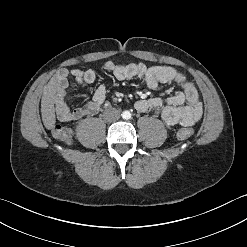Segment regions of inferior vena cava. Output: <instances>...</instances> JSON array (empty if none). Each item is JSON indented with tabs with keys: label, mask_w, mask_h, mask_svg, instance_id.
Masks as SVG:
<instances>
[{
	"label": "inferior vena cava",
	"mask_w": 247,
	"mask_h": 247,
	"mask_svg": "<svg viewBox=\"0 0 247 247\" xmlns=\"http://www.w3.org/2000/svg\"><path fill=\"white\" fill-rule=\"evenodd\" d=\"M103 117L107 121H116L120 118V112L115 108H110L104 112Z\"/></svg>",
	"instance_id": "obj_1"
}]
</instances>
